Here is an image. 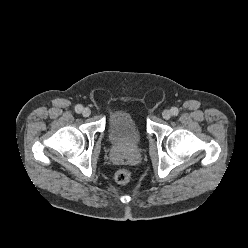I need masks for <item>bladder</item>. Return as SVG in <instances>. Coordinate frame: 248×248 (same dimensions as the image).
Here are the masks:
<instances>
[{"mask_svg": "<svg viewBox=\"0 0 248 248\" xmlns=\"http://www.w3.org/2000/svg\"><path fill=\"white\" fill-rule=\"evenodd\" d=\"M108 139L114 149L133 150L142 141V134L132 115L127 111H115L108 120Z\"/></svg>", "mask_w": 248, "mask_h": 248, "instance_id": "31cf9c89", "label": "bladder"}]
</instances>
